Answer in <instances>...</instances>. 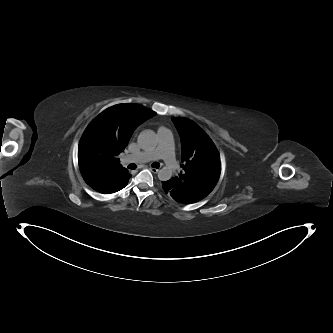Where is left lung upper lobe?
Segmentation results:
<instances>
[{"mask_svg": "<svg viewBox=\"0 0 333 333\" xmlns=\"http://www.w3.org/2000/svg\"><path fill=\"white\" fill-rule=\"evenodd\" d=\"M172 121L181 138L182 170L170 182L198 202L213 190L219 179L220 157L212 140L196 123L187 118H172Z\"/></svg>", "mask_w": 333, "mask_h": 333, "instance_id": "left-lung-upper-lobe-1", "label": "left lung upper lobe"}]
</instances>
